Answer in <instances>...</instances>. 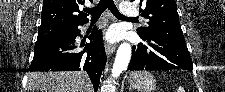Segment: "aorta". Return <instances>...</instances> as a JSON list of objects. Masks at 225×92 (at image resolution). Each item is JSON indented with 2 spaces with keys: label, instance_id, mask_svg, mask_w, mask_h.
<instances>
[{
  "label": "aorta",
  "instance_id": "obj_1",
  "mask_svg": "<svg viewBox=\"0 0 225 92\" xmlns=\"http://www.w3.org/2000/svg\"><path fill=\"white\" fill-rule=\"evenodd\" d=\"M131 53L132 49L129 43L124 42L119 46L112 68V77L117 78L124 70L127 69Z\"/></svg>",
  "mask_w": 225,
  "mask_h": 92
}]
</instances>
